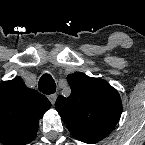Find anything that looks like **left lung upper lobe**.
<instances>
[{
  "label": "left lung upper lobe",
  "instance_id": "obj_1",
  "mask_svg": "<svg viewBox=\"0 0 145 145\" xmlns=\"http://www.w3.org/2000/svg\"><path fill=\"white\" fill-rule=\"evenodd\" d=\"M67 81L71 95L68 98L59 96L55 107L69 131H112L122 113V102L117 90L103 79L80 72L69 74Z\"/></svg>",
  "mask_w": 145,
  "mask_h": 145
}]
</instances>
